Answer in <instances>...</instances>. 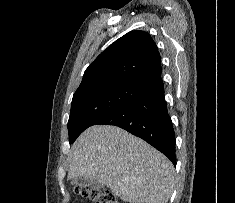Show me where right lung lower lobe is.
<instances>
[{"label": "right lung lower lobe", "mask_w": 235, "mask_h": 203, "mask_svg": "<svg viewBox=\"0 0 235 203\" xmlns=\"http://www.w3.org/2000/svg\"><path fill=\"white\" fill-rule=\"evenodd\" d=\"M97 124L118 126L142 138L176 166L175 133L162 80L101 117L94 125Z\"/></svg>", "instance_id": "obj_1"}]
</instances>
